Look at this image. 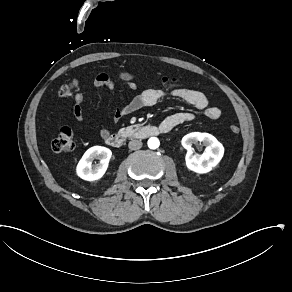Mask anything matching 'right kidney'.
Instances as JSON below:
<instances>
[{
	"label": "right kidney",
	"mask_w": 292,
	"mask_h": 292,
	"mask_svg": "<svg viewBox=\"0 0 292 292\" xmlns=\"http://www.w3.org/2000/svg\"><path fill=\"white\" fill-rule=\"evenodd\" d=\"M112 152L110 149L102 146L89 148L77 165V175L84 180L93 181L100 179L107 170ZM98 159V164L92 162Z\"/></svg>",
	"instance_id": "obj_1"
}]
</instances>
